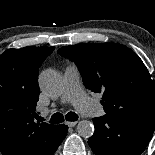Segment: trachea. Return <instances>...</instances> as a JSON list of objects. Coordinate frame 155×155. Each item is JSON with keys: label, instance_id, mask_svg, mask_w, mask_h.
I'll return each mask as SVG.
<instances>
[{"label": "trachea", "instance_id": "obj_1", "mask_svg": "<svg viewBox=\"0 0 155 155\" xmlns=\"http://www.w3.org/2000/svg\"><path fill=\"white\" fill-rule=\"evenodd\" d=\"M67 121H77L78 115L74 112H69L65 116ZM64 121V117L61 113H55L52 115L50 122L54 124L62 123Z\"/></svg>", "mask_w": 155, "mask_h": 155}]
</instances>
